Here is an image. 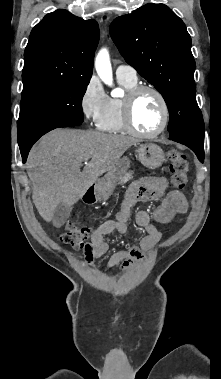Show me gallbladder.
I'll return each instance as SVG.
<instances>
[{"label": "gallbladder", "instance_id": "obj_1", "mask_svg": "<svg viewBox=\"0 0 221 379\" xmlns=\"http://www.w3.org/2000/svg\"><path fill=\"white\" fill-rule=\"evenodd\" d=\"M71 210H72L71 206L65 205L63 203L58 204L53 213V217H52L53 224L55 226L63 225L69 218Z\"/></svg>", "mask_w": 221, "mask_h": 379}]
</instances>
